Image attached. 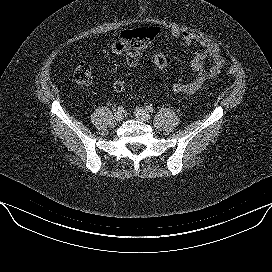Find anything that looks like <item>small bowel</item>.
<instances>
[{
	"label": "small bowel",
	"instance_id": "obj_1",
	"mask_svg": "<svg viewBox=\"0 0 272 272\" xmlns=\"http://www.w3.org/2000/svg\"><path fill=\"white\" fill-rule=\"evenodd\" d=\"M169 34L172 38L181 39L186 46L196 44L200 47V50L194 53L190 61V67L197 74L196 77L189 82L176 81L171 86L174 93L195 94L221 72L225 64L222 50L217 43L190 32L172 29ZM111 49L115 54L124 55L130 67L138 66L148 52V47H145L138 38L134 37V30H123L119 37L112 42ZM164 53L166 54V52ZM207 60L211 62L209 67L206 66Z\"/></svg>",
	"mask_w": 272,
	"mask_h": 272
}]
</instances>
